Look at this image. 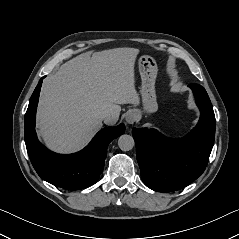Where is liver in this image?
<instances>
[{
  "mask_svg": "<svg viewBox=\"0 0 239 239\" xmlns=\"http://www.w3.org/2000/svg\"><path fill=\"white\" fill-rule=\"evenodd\" d=\"M139 51L115 48L86 52L64 63L45 79L37 110L38 133L53 151L85 147L102 127L99 115L117 122L121 104H139L134 66Z\"/></svg>",
  "mask_w": 239,
  "mask_h": 239,
  "instance_id": "1",
  "label": "liver"
}]
</instances>
